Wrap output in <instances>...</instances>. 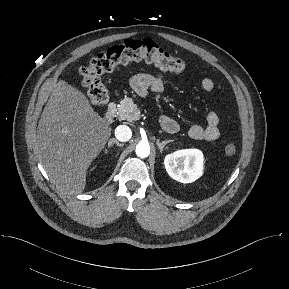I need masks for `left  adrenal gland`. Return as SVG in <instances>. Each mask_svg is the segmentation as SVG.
<instances>
[{"mask_svg": "<svg viewBox=\"0 0 289 289\" xmlns=\"http://www.w3.org/2000/svg\"><path fill=\"white\" fill-rule=\"evenodd\" d=\"M172 142V140H165V141H162L160 142L159 140H157V146L158 148L160 149V152L163 151L164 147L166 146V144Z\"/></svg>", "mask_w": 289, "mask_h": 289, "instance_id": "a2214340", "label": "left adrenal gland"}]
</instances>
